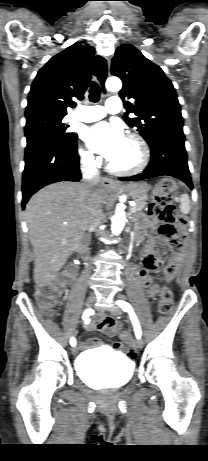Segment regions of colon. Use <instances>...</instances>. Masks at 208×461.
<instances>
[{
  "label": "colon",
  "instance_id": "colon-1",
  "mask_svg": "<svg viewBox=\"0 0 208 461\" xmlns=\"http://www.w3.org/2000/svg\"><path fill=\"white\" fill-rule=\"evenodd\" d=\"M176 188V182L172 178H164L153 190L152 203L149 207L150 215L157 221L162 222L166 225H172L174 223L183 224L184 219L179 215L176 206L172 202V194ZM183 242H180L179 246H172L175 248H182ZM175 271V266L170 264L165 269V274L170 279ZM65 282H61L59 279L52 281L43 286H39L36 289L35 297L47 312H53V308L56 305L61 290ZM173 308V293L167 288L163 287L159 293V311L162 314H169ZM123 348L131 360L138 358L137 349L131 347L129 343L122 342Z\"/></svg>",
  "mask_w": 208,
  "mask_h": 461
}]
</instances>
